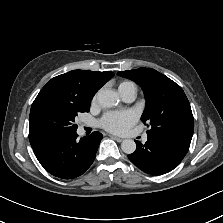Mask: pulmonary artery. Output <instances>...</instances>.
I'll list each match as a JSON object with an SVG mask.
<instances>
[{"mask_svg":"<svg viewBox=\"0 0 223 223\" xmlns=\"http://www.w3.org/2000/svg\"><path fill=\"white\" fill-rule=\"evenodd\" d=\"M119 92H120L122 98L128 102L133 101L136 97V88L134 86H127V87L119 88ZM140 140L142 143L147 144L150 142L151 137L149 134L144 133L141 135Z\"/></svg>","mask_w":223,"mask_h":223,"instance_id":"pulmonary-artery-1","label":"pulmonary artery"}]
</instances>
